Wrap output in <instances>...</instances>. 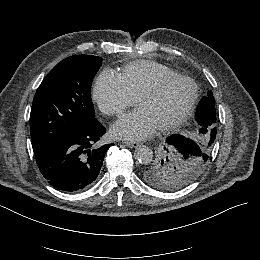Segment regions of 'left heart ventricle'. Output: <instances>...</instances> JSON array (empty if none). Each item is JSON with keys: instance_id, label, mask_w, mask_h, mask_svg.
I'll list each match as a JSON object with an SVG mask.
<instances>
[{"instance_id": "left-heart-ventricle-1", "label": "left heart ventricle", "mask_w": 260, "mask_h": 260, "mask_svg": "<svg viewBox=\"0 0 260 260\" xmlns=\"http://www.w3.org/2000/svg\"><path fill=\"white\" fill-rule=\"evenodd\" d=\"M194 93L191 82L176 79L163 85L156 94L143 97L137 105L147 112L157 127L180 117L189 106Z\"/></svg>"}]
</instances>
